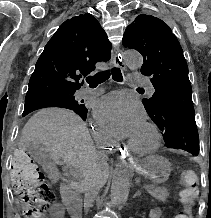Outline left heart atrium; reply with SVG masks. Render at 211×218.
<instances>
[{
  "label": "left heart atrium",
  "instance_id": "39dd6f15",
  "mask_svg": "<svg viewBox=\"0 0 211 218\" xmlns=\"http://www.w3.org/2000/svg\"><path fill=\"white\" fill-rule=\"evenodd\" d=\"M94 116L101 129L114 138L132 137L145 126V112L133 96L111 93L99 99Z\"/></svg>",
  "mask_w": 211,
  "mask_h": 218
}]
</instances>
